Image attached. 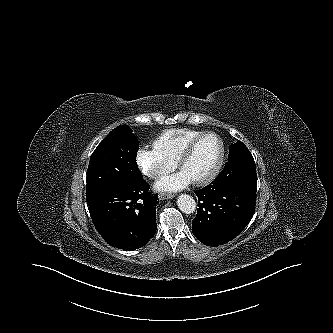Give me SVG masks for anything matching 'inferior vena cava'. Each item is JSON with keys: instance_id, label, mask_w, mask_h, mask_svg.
<instances>
[{"instance_id": "1", "label": "inferior vena cava", "mask_w": 333, "mask_h": 333, "mask_svg": "<svg viewBox=\"0 0 333 333\" xmlns=\"http://www.w3.org/2000/svg\"><path fill=\"white\" fill-rule=\"evenodd\" d=\"M157 175H158V174H156V173H152V176H153V177H156Z\"/></svg>"}]
</instances>
